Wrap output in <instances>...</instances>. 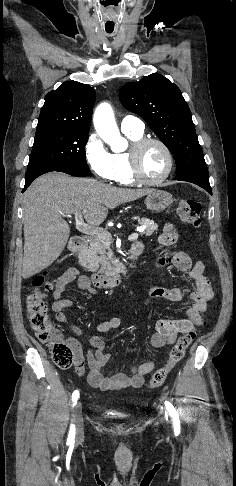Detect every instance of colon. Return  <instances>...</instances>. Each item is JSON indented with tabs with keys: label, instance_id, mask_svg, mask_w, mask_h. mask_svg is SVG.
Returning a JSON list of instances; mask_svg holds the SVG:
<instances>
[{
	"label": "colon",
	"instance_id": "1",
	"mask_svg": "<svg viewBox=\"0 0 236 486\" xmlns=\"http://www.w3.org/2000/svg\"><path fill=\"white\" fill-rule=\"evenodd\" d=\"M201 206L197 201L190 199L180 200L176 213L178 218L193 228L201 226ZM51 289L46 274H39L32 281V291L27 297V321L37 338L47 344L53 362L60 368L66 369L74 363V352L70 344L64 339L61 331L51 325L45 295ZM200 324H205L203 318H199ZM195 331L183 333L171 348L166 363L155 371L151 380L150 388L161 386L169 373L179 363L186 352V349L195 338Z\"/></svg>",
	"mask_w": 236,
	"mask_h": 486
}]
</instances>
